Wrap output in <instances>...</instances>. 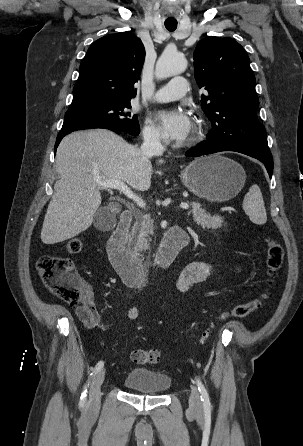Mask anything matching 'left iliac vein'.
Wrapping results in <instances>:
<instances>
[{
	"instance_id": "obj_1",
	"label": "left iliac vein",
	"mask_w": 303,
	"mask_h": 446,
	"mask_svg": "<svg viewBox=\"0 0 303 446\" xmlns=\"http://www.w3.org/2000/svg\"><path fill=\"white\" fill-rule=\"evenodd\" d=\"M189 405H190V409L193 412L199 413L201 411V401H200L199 393L195 387L191 388Z\"/></svg>"
}]
</instances>
